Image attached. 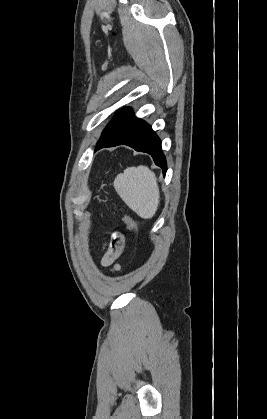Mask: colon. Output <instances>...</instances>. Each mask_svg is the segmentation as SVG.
Listing matches in <instances>:
<instances>
[{"mask_svg": "<svg viewBox=\"0 0 267 419\" xmlns=\"http://www.w3.org/2000/svg\"><path fill=\"white\" fill-rule=\"evenodd\" d=\"M123 221L126 224L127 228L131 230L135 235H137L138 226L137 223L128 215L123 214Z\"/></svg>", "mask_w": 267, "mask_h": 419, "instance_id": "obj_1", "label": "colon"}]
</instances>
